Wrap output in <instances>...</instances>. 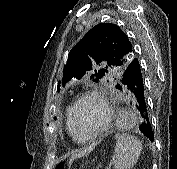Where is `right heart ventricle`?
I'll list each match as a JSON object with an SVG mask.
<instances>
[{"instance_id":"1","label":"right heart ventricle","mask_w":177,"mask_h":169,"mask_svg":"<svg viewBox=\"0 0 177 169\" xmlns=\"http://www.w3.org/2000/svg\"><path fill=\"white\" fill-rule=\"evenodd\" d=\"M70 110H71V105H69L67 107V110H66V130H67V133L68 135L75 141L77 142H80V143H83V142H86V141H80L76 138L75 134L73 133V130H72V127H71V123H70Z\"/></svg>"}]
</instances>
